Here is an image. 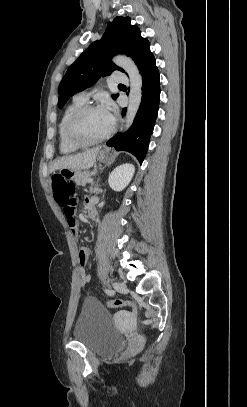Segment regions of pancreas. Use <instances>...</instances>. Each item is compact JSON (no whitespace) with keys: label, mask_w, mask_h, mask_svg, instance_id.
<instances>
[{"label":"pancreas","mask_w":247,"mask_h":407,"mask_svg":"<svg viewBox=\"0 0 247 407\" xmlns=\"http://www.w3.org/2000/svg\"><path fill=\"white\" fill-rule=\"evenodd\" d=\"M93 174L94 172H82L75 177L74 180L77 185L85 186L88 183L87 179H89Z\"/></svg>","instance_id":"cf45deb5"}]
</instances>
